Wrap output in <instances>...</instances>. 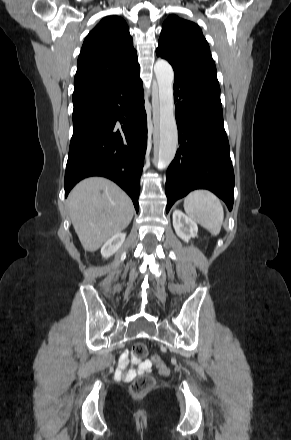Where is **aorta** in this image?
Listing matches in <instances>:
<instances>
[{
	"label": "aorta",
	"mask_w": 291,
	"mask_h": 440,
	"mask_svg": "<svg viewBox=\"0 0 291 440\" xmlns=\"http://www.w3.org/2000/svg\"><path fill=\"white\" fill-rule=\"evenodd\" d=\"M154 72L158 83L159 104L158 168L165 169L173 161L178 145L173 99L174 73L171 65L164 59L156 61Z\"/></svg>",
	"instance_id": "aorta-1"
}]
</instances>
